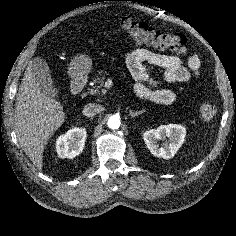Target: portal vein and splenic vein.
Wrapping results in <instances>:
<instances>
[{
    "label": "portal vein and splenic vein",
    "mask_w": 236,
    "mask_h": 236,
    "mask_svg": "<svg viewBox=\"0 0 236 236\" xmlns=\"http://www.w3.org/2000/svg\"><path fill=\"white\" fill-rule=\"evenodd\" d=\"M110 85H111V81L108 80V81L105 83V86H106V87H109ZM102 92H103V94L106 93L105 90H103Z\"/></svg>",
    "instance_id": "1"
}]
</instances>
